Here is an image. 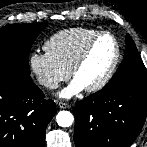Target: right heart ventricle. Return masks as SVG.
Returning a JSON list of instances; mask_svg holds the SVG:
<instances>
[{
  "label": "right heart ventricle",
  "instance_id": "e07e8e85",
  "mask_svg": "<svg viewBox=\"0 0 147 147\" xmlns=\"http://www.w3.org/2000/svg\"><path fill=\"white\" fill-rule=\"evenodd\" d=\"M97 32L99 31L96 29L85 27L64 29L47 39L44 49L60 65L70 71L83 46Z\"/></svg>",
  "mask_w": 147,
  "mask_h": 147
}]
</instances>
